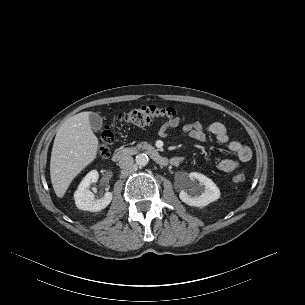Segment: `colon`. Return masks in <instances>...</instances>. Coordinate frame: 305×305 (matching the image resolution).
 Wrapping results in <instances>:
<instances>
[{"label":"colon","mask_w":305,"mask_h":305,"mask_svg":"<svg viewBox=\"0 0 305 305\" xmlns=\"http://www.w3.org/2000/svg\"><path fill=\"white\" fill-rule=\"evenodd\" d=\"M176 118V112L172 108H158L156 106H142L132 108L128 111L120 112L116 116V120L122 123L131 124L138 127H146L152 123L167 120L171 121ZM114 139L113 133L109 126H105L100 134V142L97 148V156L99 159H105L109 156L110 145ZM246 177L243 173L236 174L233 177L235 183H243Z\"/></svg>","instance_id":"obj_1"}]
</instances>
